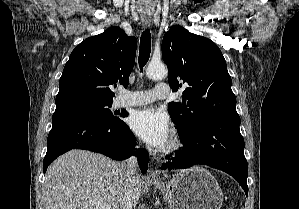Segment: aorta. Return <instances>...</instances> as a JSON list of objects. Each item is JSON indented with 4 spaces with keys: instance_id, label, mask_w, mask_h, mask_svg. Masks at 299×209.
<instances>
[{
    "instance_id": "762f6f07",
    "label": "aorta",
    "mask_w": 299,
    "mask_h": 209,
    "mask_svg": "<svg viewBox=\"0 0 299 209\" xmlns=\"http://www.w3.org/2000/svg\"><path fill=\"white\" fill-rule=\"evenodd\" d=\"M167 74V69L162 63H150L146 70V75L152 80H161Z\"/></svg>"
}]
</instances>
